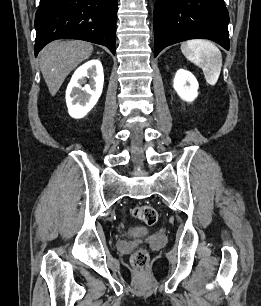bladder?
<instances>
[{"mask_svg": "<svg viewBox=\"0 0 261 306\" xmlns=\"http://www.w3.org/2000/svg\"><path fill=\"white\" fill-rule=\"evenodd\" d=\"M142 231H140V230H135L133 233L134 234H138V233H141Z\"/></svg>", "mask_w": 261, "mask_h": 306, "instance_id": "obj_1", "label": "bladder"}]
</instances>
